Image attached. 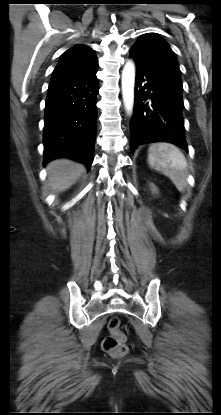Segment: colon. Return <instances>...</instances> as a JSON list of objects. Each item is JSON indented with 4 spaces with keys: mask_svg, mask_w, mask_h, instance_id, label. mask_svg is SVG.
<instances>
[{
    "mask_svg": "<svg viewBox=\"0 0 221 415\" xmlns=\"http://www.w3.org/2000/svg\"><path fill=\"white\" fill-rule=\"evenodd\" d=\"M110 335L102 343L105 352L112 356H123L127 353V346L124 344V335L120 331V321L117 317H112L108 321Z\"/></svg>",
    "mask_w": 221,
    "mask_h": 415,
    "instance_id": "colon-1",
    "label": "colon"
}]
</instances>
